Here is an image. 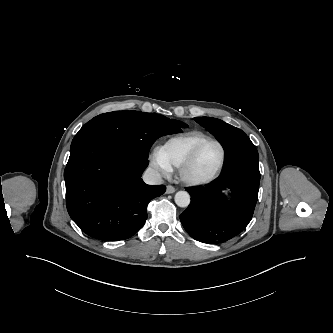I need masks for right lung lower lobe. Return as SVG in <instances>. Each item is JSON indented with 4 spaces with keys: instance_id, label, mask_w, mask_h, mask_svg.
<instances>
[{
    "instance_id": "right-lung-lower-lobe-1",
    "label": "right lung lower lobe",
    "mask_w": 333,
    "mask_h": 333,
    "mask_svg": "<svg viewBox=\"0 0 333 333\" xmlns=\"http://www.w3.org/2000/svg\"><path fill=\"white\" fill-rule=\"evenodd\" d=\"M148 164L102 139L71 145L64 178L72 220L96 239L117 241L133 236L147 219L148 203L166 190L164 185L143 182L141 175Z\"/></svg>"
}]
</instances>
